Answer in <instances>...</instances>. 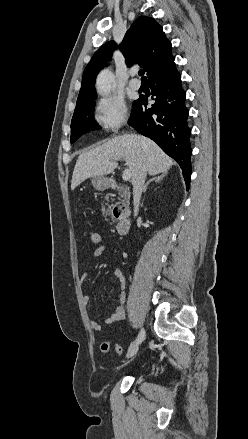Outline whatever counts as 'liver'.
<instances>
[{
    "instance_id": "1",
    "label": "liver",
    "mask_w": 248,
    "mask_h": 439,
    "mask_svg": "<svg viewBox=\"0 0 248 439\" xmlns=\"http://www.w3.org/2000/svg\"><path fill=\"white\" fill-rule=\"evenodd\" d=\"M125 159L133 182L144 166L150 175L167 172L174 161L149 138L137 134L115 136L106 143L79 155L71 181L74 190L84 180L110 174L117 168V161Z\"/></svg>"
}]
</instances>
